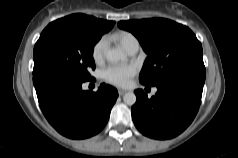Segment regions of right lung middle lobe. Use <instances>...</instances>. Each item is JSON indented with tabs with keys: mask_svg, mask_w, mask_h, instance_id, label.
Segmentation results:
<instances>
[{
	"mask_svg": "<svg viewBox=\"0 0 238 158\" xmlns=\"http://www.w3.org/2000/svg\"><path fill=\"white\" fill-rule=\"evenodd\" d=\"M103 31L74 19L61 18L50 23L34 46V70L50 66L88 81L95 69L93 49Z\"/></svg>",
	"mask_w": 238,
	"mask_h": 158,
	"instance_id": "right-lung-middle-lobe-1",
	"label": "right lung middle lobe"
}]
</instances>
